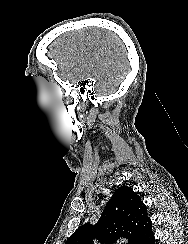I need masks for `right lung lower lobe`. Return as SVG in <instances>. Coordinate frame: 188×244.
Wrapping results in <instances>:
<instances>
[{"label": "right lung lower lobe", "instance_id": "right-lung-lower-lobe-1", "mask_svg": "<svg viewBox=\"0 0 188 244\" xmlns=\"http://www.w3.org/2000/svg\"><path fill=\"white\" fill-rule=\"evenodd\" d=\"M139 244H155V238L152 232V227L148 230L143 240Z\"/></svg>", "mask_w": 188, "mask_h": 244}]
</instances>
